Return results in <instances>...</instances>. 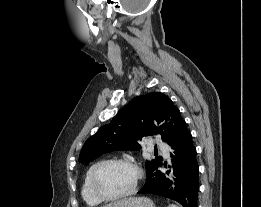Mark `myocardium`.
Instances as JSON below:
<instances>
[{"instance_id": "obj_1", "label": "myocardium", "mask_w": 261, "mask_h": 207, "mask_svg": "<svg viewBox=\"0 0 261 207\" xmlns=\"http://www.w3.org/2000/svg\"><path fill=\"white\" fill-rule=\"evenodd\" d=\"M114 164H124V165H128V166L132 167L136 173V178H135L134 184L132 185V187L129 190H127L123 193L117 194V195H106L99 188V185H98L99 176L105 168H107L110 165H114ZM141 179H142L141 169L134 161H132L128 158H112V159L103 161L95 168V170L93 171L92 176H91V189H92V192L94 193V195L101 201H104V202L116 201V200H120V199L133 195L136 192V190L138 189Z\"/></svg>"}]
</instances>
